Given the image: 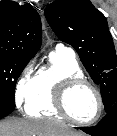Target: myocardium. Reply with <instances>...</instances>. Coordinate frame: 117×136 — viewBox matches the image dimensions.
Here are the masks:
<instances>
[{"mask_svg":"<svg viewBox=\"0 0 117 136\" xmlns=\"http://www.w3.org/2000/svg\"><path fill=\"white\" fill-rule=\"evenodd\" d=\"M80 87H89L96 95L98 110L95 117L91 120H80L74 117L69 109V99L71 94ZM54 107L58 113L73 123L80 125H91L96 123L104 109L103 98L100 90L85 77L72 76L64 79L57 86L54 93Z\"/></svg>","mask_w":117,"mask_h":136,"instance_id":"myocardium-1","label":"myocardium"}]
</instances>
